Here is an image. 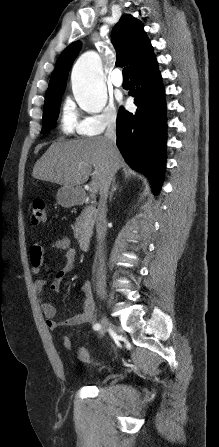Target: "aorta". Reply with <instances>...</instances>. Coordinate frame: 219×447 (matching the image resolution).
Here are the masks:
<instances>
[{
  "label": "aorta",
  "instance_id": "762f6f07",
  "mask_svg": "<svg viewBox=\"0 0 219 447\" xmlns=\"http://www.w3.org/2000/svg\"><path fill=\"white\" fill-rule=\"evenodd\" d=\"M75 100L81 109L89 113H100L107 103V91L103 82L102 63L94 51L82 54L76 61L71 74Z\"/></svg>",
  "mask_w": 219,
  "mask_h": 447
}]
</instances>
